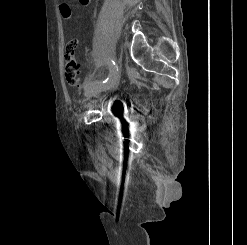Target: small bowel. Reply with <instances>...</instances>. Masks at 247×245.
Here are the masks:
<instances>
[{
	"mask_svg": "<svg viewBox=\"0 0 247 245\" xmlns=\"http://www.w3.org/2000/svg\"><path fill=\"white\" fill-rule=\"evenodd\" d=\"M90 1L91 0H79V2L84 6L89 5ZM60 12L65 19H69L72 16L71 8L66 3L60 5Z\"/></svg>",
	"mask_w": 247,
	"mask_h": 245,
	"instance_id": "small-bowel-1",
	"label": "small bowel"
}]
</instances>
